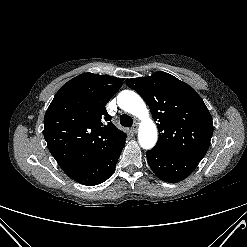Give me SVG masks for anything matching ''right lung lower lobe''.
Instances as JSON below:
<instances>
[{
    "label": "right lung lower lobe",
    "mask_w": 247,
    "mask_h": 247,
    "mask_svg": "<svg viewBox=\"0 0 247 247\" xmlns=\"http://www.w3.org/2000/svg\"><path fill=\"white\" fill-rule=\"evenodd\" d=\"M125 140L90 169L75 177L74 180L80 184L88 186L98 185L106 181L114 172L117 160L125 144Z\"/></svg>",
    "instance_id": "obj_1"
}]
</instances>
